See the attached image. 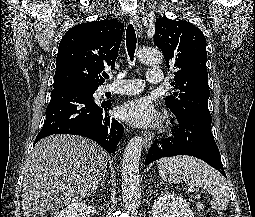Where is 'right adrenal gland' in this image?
Returning <instances> with one entry per match:
<instances>
[{"instance_id":"right-adrenal-gland-1","label":"right adrenal gland","mask_w":255,"mask_h":217,"mask_svg":"<svg viewBox=\"0 0 255 217\" xmlns=\"http://www.w3.org/2000/svg\"><path fill=\"white\" fill-rule=\"evenodd\" d=\"M100 186H102L105 189V178L103 177L100 183ZM97 188H100L99 186Z\"/></svg>"}]
</instances>
